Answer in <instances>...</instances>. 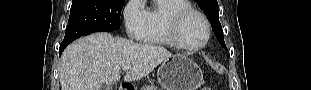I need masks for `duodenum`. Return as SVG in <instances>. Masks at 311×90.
<instances>
[{
    "label": "duodenum",
    "mask_w": 311,
    "mask_h": 90,
    "mask_svg": "<svg viewBox=\"0 0 311 90\" xmlns=\"http://www.w3.org/2000/svg\"><path fill=\"white\" fill-rule=\"evenodd\" d=\"M119 90H133V89H131V87L128 86V85H122V86L119 88Z\"/></svg>",
    "instance_id": "410a0bca"
}]
</instances>
